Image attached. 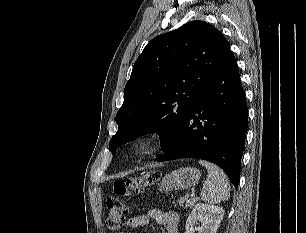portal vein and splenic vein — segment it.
<instances>
[{"mask_svg": "<svg viewBox=\"0 0 306 233\" xmlns=\"http://www.w3.org/2000/svg\"><path fill=\"white\" fill-rule=\"evenodd\" d=\"M190 196H191V197H194V196H195V194L192 192V193L190 194Z\"/></svg>", "mask_w": 306, "mask_h": 233, "instance_id": "obj_1", "label": "portal vein and splenic vein"}]
</instances>
